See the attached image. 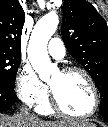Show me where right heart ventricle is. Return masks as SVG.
I'll use <instances>...</instances> for the list:
<instances>
[{
	"label": "right heart ventricle",
	"instance_id": "1",
	"mask_svg": "<svg viewBox=\"0 0 108 127\" xmlns=\"http://www.w3.org/2000/svg\"><path fill=\"white\" fill-rule=\"evenodd\" d=\"M37 111L44 115L53 114L54 110L51 107L50 100L47 97L37 105Z\"/></svg>",
	"mask_w": 108,
	"mask_h": 127
}]
</instances>
